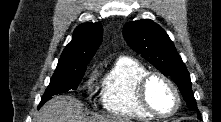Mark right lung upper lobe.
I'll use <instances>...</instances> for the list:
<instances>
[{"label":"right lung upper lobe","instance_id":"cb5924a9","mask_svg":"<svg viewBox=\"0 0 221 122\" xmlns=\"http://www.w3.org/2000/svg\"><path fill=\"white\" fill-rule=\"evenodd\" d=\"M103 28L100 23H84L73 32L72 41L65 47L59 59L58 69L87 67L102 42Z\"/></svg>","mask_w":221,"mask_h":122}]
</instances>
